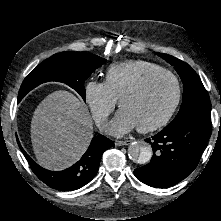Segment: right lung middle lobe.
I'll use <instances>...</instances> for the list:
<instances>
[{"instance_id":"1","label":"right lung middle lobe","mask_w":221,"mask_h":221,"mask_svg":"<svg viewBox=\"0 0 221 221\" xmlns=\"http://www.w3.org/2000/svg\"><path fill=\"white\" fill-rule=\"evenodd\" d=\"M106 62L86 52H61L39 64L23 81L18 94L20 101L30 90L48 81L62 82L75 89L85 100V80Z\"/></svg>"}]
</instances>
